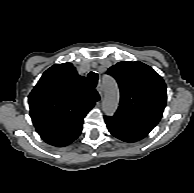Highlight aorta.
Wrapping results in <instances>:
<instances>
[{
  "label": "aorta",
  "instance_id": "1",
  "mask_svg": "<svg viewBox=\"0 0 194 193\" xmlns=\"http://www.w3.org/2000/svg\"><path fill=\"white\" fill-rule=\"evenodd\" d=\"M103 85V102L102 108L105 114L113 115L118 107L119 90L116 81L109 75L102 78Z\"/></svg>",
  "mask_w": 194,
  "mask_h": 193
}]
</instances>
